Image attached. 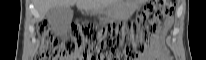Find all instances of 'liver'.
Masks as SVG:
<instances>
[{
  "instance_id": "1",
  "label": "liver",
  "mask_w": 206,
  "mask_h": 60,
  "mask_svg": "<svg viewBox=\"0 0 206 60\" xmlns=\"http://www.w3.org/2000/svg\"><path fill=\"white\" fill-rule=\"evenodd\" d=\"M93 0H36V8L41 17H44L47 12L55 6H84L92 3Z\"/></svg>"
}]
</instances>
